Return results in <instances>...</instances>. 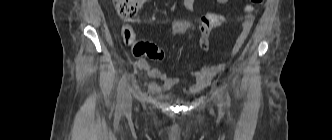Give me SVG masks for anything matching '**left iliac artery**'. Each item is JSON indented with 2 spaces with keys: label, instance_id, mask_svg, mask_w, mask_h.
<instances>
[{
  "label": "left iliac artery",
  "instance_id": "obj_1",
  "mask_svg": "<svg viewBox=\"0 0 332 140\" xmlns=\"http://www.w3.org/2000/svg\"><path fill=\"white\" fill-rule=\"evenodd\" d=\"M227 102H228V105H230V96L228 93H227Z\"/></svg>",
  "mask_w": 332,
  "mask_h": 140
}]
</instances>
